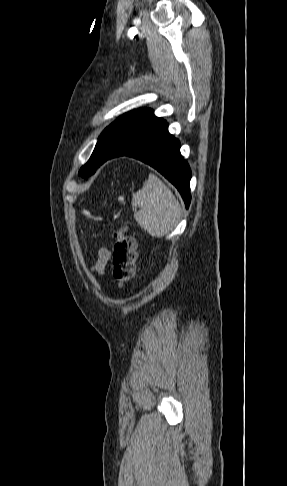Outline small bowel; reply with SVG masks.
Instances as JSON below:
<instances>
[{
    "mask_svg": "<svg viewBox=\"0 0 287 486\" xmlns=\"http://www.w3.org/2000/svg\"><path fill=\"white\" fill-rule=\"evenodd\" d=\"M111 260V252L108 248L102 247L98 250L96 261L93 266V271L102 275L106 272L108 264Z\"/></svg>",
    "mask_w": 287,
    "mask_h": 486,
    "instance_id": "small-bowel-1",
    "label": "small bowel"
}]
</instances>
